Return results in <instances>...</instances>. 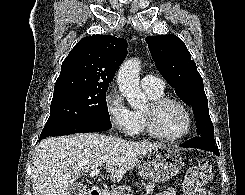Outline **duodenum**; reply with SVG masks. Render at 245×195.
<instances>
[{"label": "duodenum", "instance_id": "1", "mask_svg": "<svg viewBox=\"0 0 245 195\" xmlns=\"http://www.w3.org/2000/svg\"><path fill=\"white\" fill-rule=\"evenodd\" d=\"M88 195H102V192L98 188L92 189Z\"/></svg>", "mask_w": 245, "mask_h": 195}]
</instances>
